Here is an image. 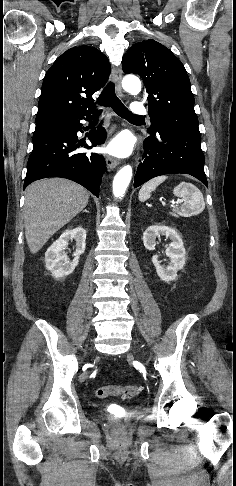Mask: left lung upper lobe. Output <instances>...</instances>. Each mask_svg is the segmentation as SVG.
Masks as SVG:
<instances>
[{
  "label": "left lung upper lobe",
  "mask_w": 236,
  "mask_h": 486,
  "mask_svg": "<svg viewBox=\"0 0 236 486\" xmlns=\"http://www.w3.org/2000/svg\"><path fill=\"white\" fill-rule=\"evenodd\" d=\"M122 68L144 81L151 135L170 128L200 134L189 77L168 48L153 39L138 42L124 55Z\"/></svg>",
  "instance_id": "obj_1"
}]
</instances>
